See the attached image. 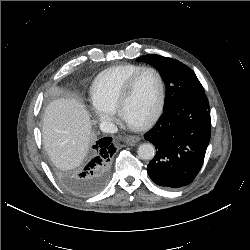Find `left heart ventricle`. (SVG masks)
<instances>
[{
	"mask_svg": "<svg viewBox=\"0 0 250 250\" xmlns=\"http://www.w3.org/2000/svg\"><path fill=\"white\" fill-rule=\"evenodd\" d=\"M159 95L157 77L151 71L139 75L130 97L123 108L124 121L130 125L140 123L153 111Z\"/></svg>",
	"mask_w": 250,
	"mask_h": 250,
	"instance_id": "b2bd125f",
	"label": "left heart ventricle"
}]
</instances>
